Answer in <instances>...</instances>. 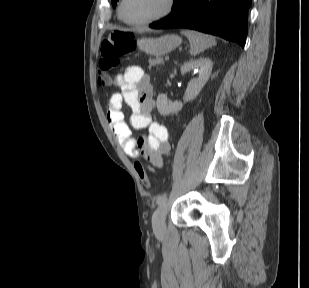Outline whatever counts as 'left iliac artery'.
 Returning a JSON list of instances; mask_svg holds the SVG:
<instances>
[{
  "label": "left iliac artery",
  "instance_id": "44dca946",
  "mask_svg": "<svg viewBox=\"0 0 309 288\" xmlns=\"http://www.w3.org/2000/svg\"><path fill=\"white\" fill-rule=\"evenodd\" d=\"M166 200H167L166 195H161V196H159V197L157 198V204H158V205H161V204L165 203Z\"/></svg>",
  "mask_w": 309,
  "mask_h": 288
}]
</instances>
